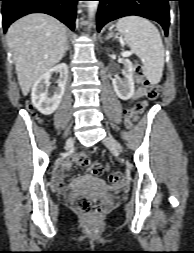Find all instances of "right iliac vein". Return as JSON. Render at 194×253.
Instances as JSON below:
<instances>
[{
	"instance_id": "1",
	"label": "right iliac vein",
	"mask_w": 194,
	"mask_h": 253,
	"mask_svg": "<svg viewBox=\"0 0 194 253\" xmlns=\"http://www.w3.org/2000/svg\"><path fill=\"white\" fill-rule=\"evenodd\" d=\"M74 143V139L72 137H70L67 141H66V145L65 148H71L73 146Z\"/></svg>"
}]
</instances>
